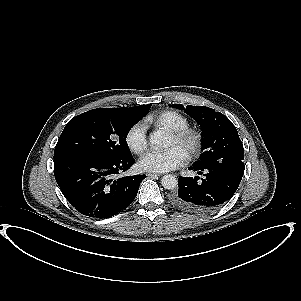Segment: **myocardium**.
Returning <instances> with one entry per match:
<instances>
[{
  "instance_id": "f54148a6",
  "label": "myocardium",
  "mask_w": 301,
  "mask_h": 301,
  "mask_svg": "<svg viewBox=\"0 0 301 301\" xmlns=\"http://www.w3.org/2000/svg\"><path fill=\"white\" fill-rule=\"evenodd\" d=\"M168 136L171 142L184 151L182 155L193 153L198 145L199 136L190 130H177L175 133L170 132Z\"/></svg>"
}]
</instances>
